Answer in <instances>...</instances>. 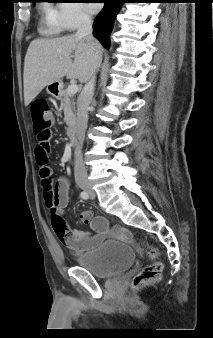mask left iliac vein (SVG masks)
Segmentation results:
<instances>
[{
    "instance_id": "1",
    "label": "left iliac vein",
    "mask_w": 213,
    "mask_h": 338,
    "mask_svg": "<svg viewBox=\"0 0 213 338\" xmlns=\"http://www.w3.org/2000/svg\"><path fill=\"white\" fill-rule=\"evenodd\" d=\"M95 193L92 191V190H90L89 191V197L91 198V199H93V198H95Z\"/></svg>"
}]
</instances>
